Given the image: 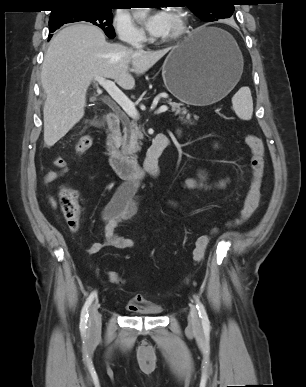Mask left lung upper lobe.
Returning a JSON list of instances; mask_svg holds the SVG:
<instances>
[{"label":"left lung upper lobe","mask_w":306,"mask_h":387,"mask_svg":"<svg viewBox=\"0 0 306 387\" xmlns=\"http://www.w3.org/2000/svg\"><path fill=\"white\" fill-rule=\"evenodd\" d=\"M233 0H186V6L207 22L229 18L234 12Z\"/></svg>","instance_id":"obj_1"}]
</instances>
